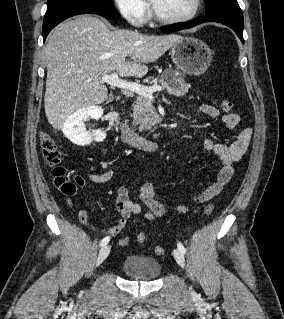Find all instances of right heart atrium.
<instances>
[{
    "instance_id": "d8ad5b80",
    "label": "right heart atrium",
    "mask_w": 284,
    "mask_h": 319,
    "mask_svg": "<svg viewBox=\"0 0 284 319\" xmlns=\"http://www.w3.org/2000/svg\"><path fill=\"white\" fill-rule=\"evenodd\" d=\"M121 16L134 26L142 25L148 15V5L144 0H114Z\"/></svg>"
}]
</instances>
